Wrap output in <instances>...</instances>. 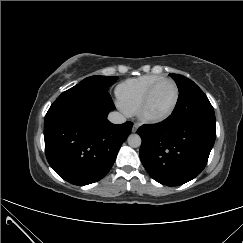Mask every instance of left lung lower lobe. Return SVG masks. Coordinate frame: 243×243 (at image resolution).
I'll return each instance as SVG.
<instances>
[{
  "label": "left lung lower lobe",
  "mask_w": 243,
  "mask_h": 243,
  "mask_svg": "<svg viewBox=\"0 0 243 243\" xmlns=\"http://www.w3.org/2000/svg\"><path fill=\"white\" fill-rule=\"evenodd\" d=\"M140 159L149 175L161 184L179 186L206 166L216 137L215 122L192 121L173 113L161 123L143 125Z\"/></svg>",
  "instance_id": "left-lung-lower-lobe-1"
}]
</instances>
